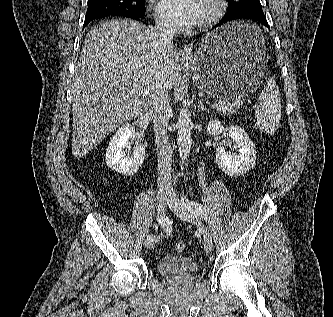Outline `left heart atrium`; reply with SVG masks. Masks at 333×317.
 <instances>
[{
    "label": "left heart atrium",
    "mask_w": 333,
    "mask_h": 317,
    "mask_svg": "<svg viewBox=\"0 0 333 317\" xmlns=\"http://www.w3.org/2000/svg\"><path fill=\"white\" fill-rule=\"evenodd\" d=\"M202 4L203 0H160L159 11L170 24L185 27L200 21Z\"/></svg>",
    "instance_id": "1"
}]
</instances>
